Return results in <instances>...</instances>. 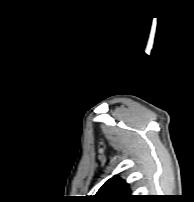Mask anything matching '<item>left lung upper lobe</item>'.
<instances>
[{
	"instance_id": "1",
	"label": "left lung upper lobe",
	"mask_w": 194,
	"mask_h": 202,
	"mask_svg": "<svg viewBox=\"0 0 194 202\" xmlns=\"http://www.w3.org/2000/svg\"><path fill=\"white\" fill-rule=\"evenodd\" d=\"M94 196L100 202H127L135 198L134 195H130L125 181L117 177H113L105 182Z\"/></svg>"
}]
</instances>
